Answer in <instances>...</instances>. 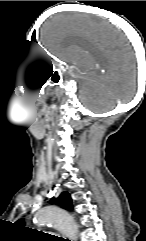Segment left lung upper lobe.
Listing matches in <instances>:
<instances>
[{"instance_id":"left-lung-upper-lobe-1","label":"left lung upper lobe","mask_w":146,"mask_h":241,"mask_svg":"<svg viewBox=\"0 0 146 241\" xmlns=\"http://www.w3.org/2000/svg\"><path fill=\"white\" fill-rule=\"evenodd\" d=\"M54 202L64 209H67V210L73 209L72 208V200H71V197H70L68 192L61 193L60 196L57 199L54 200ZM20 223L24 224V220L21 219Z\"/></svg>"}]
</instances>
